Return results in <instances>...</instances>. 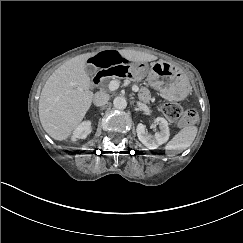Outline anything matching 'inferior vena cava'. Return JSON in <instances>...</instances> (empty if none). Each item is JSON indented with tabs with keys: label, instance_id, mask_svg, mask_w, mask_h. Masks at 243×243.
Wrapping results in <instances>:
<instances>
[{
	"label": "inferior vena cava",
	"instance_id": "inferior-vena-cava-1",
	"mask_svg": "<svg viewBox=\"0 0 243 243\" xmlns=\"http://www.w3.org/2000/svg\"><path fill=\"white\" fill-rule=\"evenodd\" d=\"M109 100V97L106 93L97 92L93 97V103L95 106H103Z\"/></svg>",
	"mask_w": 243,
	"mask_h": 243
}]
</instances>
